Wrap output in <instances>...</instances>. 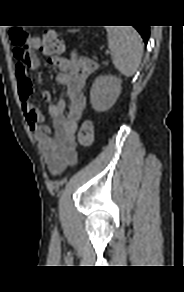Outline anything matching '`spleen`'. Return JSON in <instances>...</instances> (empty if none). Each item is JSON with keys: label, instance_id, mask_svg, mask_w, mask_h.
<instances>
[{"label": "spleen", "instance_id": "obj_1", "mask_svg": "<svg viewBox=\"0 0 184 292\" xmlns=\"http://www.w3.org/2000/svg\"><path fill=\"white\" fill-rule=\"evenodd\" d=\"M109 48L114 51L113 64L124 76L137 71L143 52L142 39L133 27H108Z\"/></svg>", "mask_w": 184, "mask_h": 292}]
</instances>
